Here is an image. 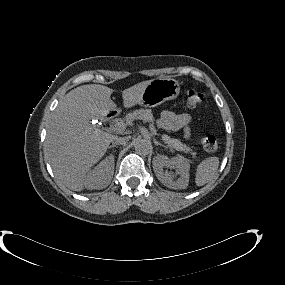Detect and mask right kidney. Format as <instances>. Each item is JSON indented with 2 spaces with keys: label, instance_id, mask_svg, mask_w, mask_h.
<instances>
[{
  "label": "right kidney",
  "instance_id": "right-kidney-1",
  "mask_svg": "<svg viewBox=\"0 0 285 285\" xmlns=\"http://www.w3.org/2000/svg\"><path fill=\"white\" fill-rule=\"evenodd\" d=\"M114 174V156H108L102 160L94 169H92L85 181L87 189H103L106 188Z\"/></svg>",
  "mask_w": 285,
  "mask_h": 285
}]
</instances>
